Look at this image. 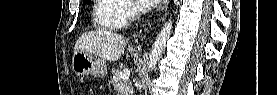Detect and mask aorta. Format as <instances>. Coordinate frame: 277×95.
Listing matches in <instances>:
<instances>
[{"label":"aorta","mask_w":277,"mask_h":95,"mask_svg":"<svg viewBox=\"0 0 277 95\" xmlns=\"http://www.w3.org/2000/svg\"><path fill=\"white\" fill-rule=\"evenodd\" d=\"M172 31V20H169L162 28L160 33L157 35L156 40L152 46L149 54L148 70L152 71L158 61L160 60L165 48L167 40L169 39Z\"/></svg>","instance_id":"aorta-1"}]
</instances>
